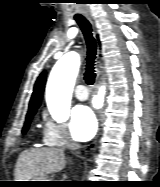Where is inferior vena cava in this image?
Masks as SVG:
<instances>
[{
    "label": "inferior vena cava",
    "mask_w": 160,
    "mask_h": 187,
    "mask_svg": "<svg viewBox=\"0 0 160 187\" xmlns=\"http://www.w3.org/2000/svg\"><path fill=\"white\" fill-rule=\"evenodd\" d=\"M70 146H71V147H76V145H75V144H71Z\"/></svg>",
    "instance_id": "obj_1"
}]
</instances>
